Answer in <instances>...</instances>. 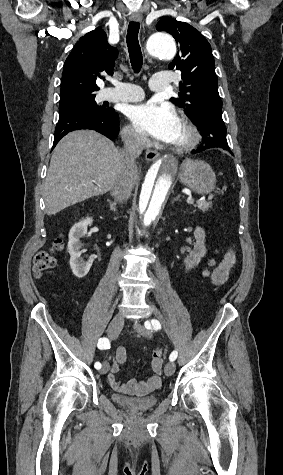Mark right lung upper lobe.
I'll use <instances>...</instances> for the list:
<instances>
[{
  "label": "right lung upper lobe",
  "instance_id": "right-lung-upper-lobe-1",
  "mask_svg": "<svg viewBox=\"0 0 283 475\" xmlns=\"http://www.w3.org/2000/svg\"><path fill=\"white\" fill-rule=\"evenodd\" d=\"M118 50L107 43L101 27L82 36L67 57L62 75L61 91L95 93L96 81L102 74H113Z\"/></svg>",
  "mask_w": 283,
  "mask_h": 475
}]
</instances>
